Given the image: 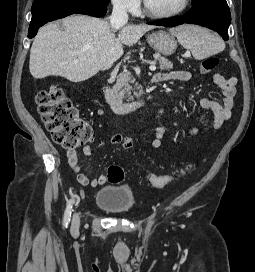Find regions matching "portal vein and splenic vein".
<instances>
[{"label":"portal vein and splenic vein","instance_id":"obj_1","mask_svg":"<svg viewBox=\"0 0 255 272\" xmlns=\"http://www.w3.org/2000/svg\"><path fill=\"white\" fill-rule=\"evenodd\" d=\"M149 69L151 71H155L156 70V66L154 64H152V65L149 66Z\"/></svg>","mask_w":255,"mask_h":272}]
</instances>
